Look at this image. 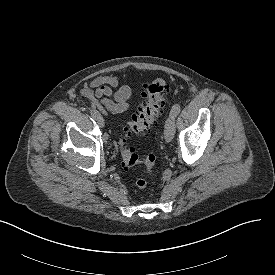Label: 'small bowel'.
Returning a JSON list of instances; mask_svg holds the SVG:
<instances>
[{
	"label": "small bowel",
	"instance_id": "1",
	"mask_svg": "<svg viewBox=\"0 0 275 275\" xmlns=\"http://www.w3.org/2000/svg\"><path fill=\"white\" fill-rule=\"evenodd\" d=\"M119 83V79L115 76H99L82 90V95L89 99L92 106L104 115L123 113L129 109L131 89L123 85L114 91L113 88L117 87Z\"/></svg>",
	"mask_w": 275,
	"mask_h": 275
}]
</instances>
